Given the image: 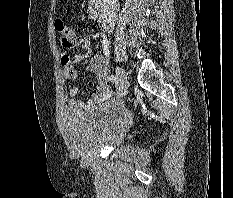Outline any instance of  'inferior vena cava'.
<instances>
[{"instance_id": "inferior-vena-cava-1", "label": "inferior vena cava", "mask_w": 233, "mask_h": 198, "mask_svg": "<svg viewBox=\"0 0 233 198\" xmlns=\"http://www.w3.org/2000/svg\"><path fill=\"white\" fill-rule=\"evenodd\" d=\"M101 6V19L106 32H112L117 20L118 0H99Z\"/></svg>"}]
</instances>
